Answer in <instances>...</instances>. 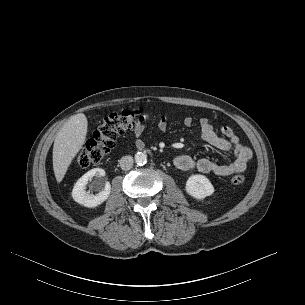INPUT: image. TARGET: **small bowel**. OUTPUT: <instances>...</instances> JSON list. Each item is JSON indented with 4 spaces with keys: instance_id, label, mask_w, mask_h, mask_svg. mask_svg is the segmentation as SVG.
<instances>
[{
    "instance_id": "c3829d8e",
    "label": "small bowel",
    "mask_w": 305,
    "mask_h": 305,
    "mask_svg": "<svg viewBox=\"0 0 305 305\" xmlns=\"http://www.w3.org/2000/svg\"><path fill=\"white\" fill-rule=\"evenodd\" d=\"M136 114L140 117V120L134 127L133 133L137 145L141 146L143 144L142 136L147 125L148 115L142 110H136ZM194 123L195 119L191 116L183 119V125L186 127H191ZM197 124L199 135L204 142L221 151L233 150L234 159L229 163L221 164L208 159L196 160L187 155H180L175 157L173 161L176 168L183 171L195 169L201 173L217 176H229L245 171L247 163L252 157V151L240 142L238 136L230 127L223 126L220 129V134H218L215 131L213 123L208 118H198ZM157 128L161 132L167 130L168 121L166 117L162 116L159 118Z\"/></svg>"
}]
</instances>
